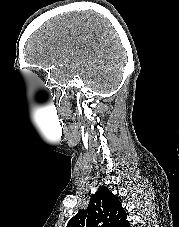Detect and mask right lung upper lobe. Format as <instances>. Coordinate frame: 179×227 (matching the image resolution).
I'll return each mask as SVG.
<instances>
[{"instance_id": "cb5924a9", "label": "right lung upper lobe", "mask_w": 179, "mask_h": 227, "mask_svg": "<svg viewBox=\"0 0 179 227\" xmlns=\"http://www.w3.org/2000/svg\"><path fill=\"white\" fill-rule=\"evenodd\" d=\"M66 227H130L118 198L101 186L93 194L86 210H79Z\"/></svg>"}]
</instances>
